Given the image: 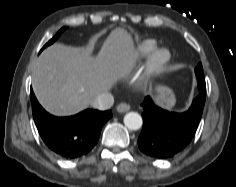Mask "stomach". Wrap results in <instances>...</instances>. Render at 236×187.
I'll list each match as a JSON object with an SVG mask.
<instances>
[{
	"label": "stomach",
	"mask_w": 236,
	"mask_h": 187,
	"mask_svg": "<svg viewBox=\"0 0 236 187\" xmlns=\"http://www.w3.org/2000/svg\"><path fill=\"white\" fill-rule=\"evenodd\" d=\"M155 101L158 105L171 109L174 107L176 99L170 88L166 86H158L156 89Z\"/></svg>",
	"instance_id": "obj_1"
}]
</instances>
